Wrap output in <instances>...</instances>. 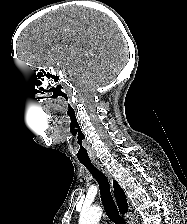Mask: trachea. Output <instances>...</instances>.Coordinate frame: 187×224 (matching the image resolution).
I'll return each instance as SVG.
<instances>
[{"mask_svg":"<svg viewBox=\"0 0 187 224\" xmlns=\"http://www.w3.org/2000/svg\"><path fill=\"white\" fill-rule=\"evenodd\" d=\"M86 169L92 174L99 184L101 200L108 218L114 224H125L124 219L119 215L118 209L114 203L110 192V185L107 177L92 162H81Z\"/></svg>","mask_w":187,"mask_h":224,"instance_id":"3493384b","label":"trachea"}]
</instances>
